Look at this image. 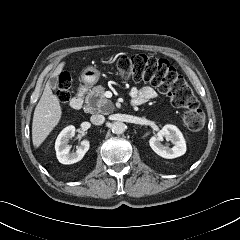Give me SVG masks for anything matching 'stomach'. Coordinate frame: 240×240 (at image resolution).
Returning <instances> with one entry per match:
<instances>
[{
  "label": "stomach",
  "mask_w": 240,
  "mask_h": 240,
  "mask_svg": "<svg viewBox=\"0 0 240 240\" xmlns=\"http://www.w3.org/2000/svg\"><path fill=\"white\" fill-rule=\"evenodd\" d=\"M81 78L85 85L92 86L99 81L100 71L93 66H89L83 70Z\"/></svg>",
  "instance_id": "obj_1"
}]
</instances>
